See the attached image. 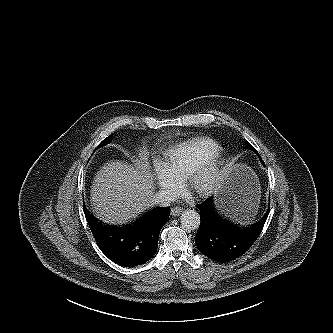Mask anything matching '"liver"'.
<instances>
[{
	"mask_svg": "<svg viewBox=\"0 0 333 333\" xmlns=\"http://www.w3.org/2000/svg\"><path fill=\"white\" fill-rule=\"evenodd\" d=\"M153 191V175L144 158L134 160V165L111 161L94 178L91 203L102 221L124 223L153 205Z\"/></svg>",
	"mask_w": 333,
	"mask_h": 333,
	"instance_id": "liver-1",
	"label": "liver"
}]
</instances>
